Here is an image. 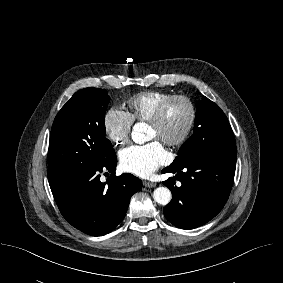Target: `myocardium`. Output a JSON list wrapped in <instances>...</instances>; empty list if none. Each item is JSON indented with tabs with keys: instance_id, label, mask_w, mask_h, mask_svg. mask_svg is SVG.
Returning a JSON list of instances; mask_svg holds the SVG:
<instances>
[{
	"instance_id": "1",
	"label": "myocardium",
	"mask_w": 283,
	"mask_h": 283,
	"mask_svg": "<svg viewBox=\"0 0 283 283\" xmlns=\"http://www.w3.org/2000/svg\"><path fill=\"white\" fill-rule=\"evenodd\" d=\"M176 101L183 102L188 108V120L181 132V134L174 139H165L162 142L168 146H179L182 145L190 136L197 119V109L193 100L184 94H172L162 101L156 108L153 116L148 121V124L159 128L165 118L166 112L170 105Z\"/></svg>"
}]
</instances>
